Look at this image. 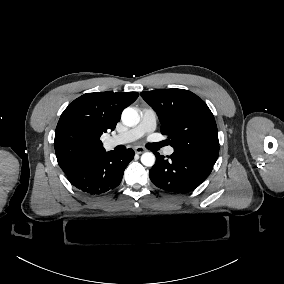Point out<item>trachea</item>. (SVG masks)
Wrapping results in <instances>:
<instances>
[{
  "mask_svg": "<svg viewBox=\"0 0 284 284\" xmlns=\"http://www.w3.org/2000/svg\"><path fill=\"white\" fill-rule=\"evenodd\" d=\"M169 143H170L169 140L161 141V142H158V143H152V144H149L148 148L150 150H159L161 147L166 146Z\"/></svg>",
  "mask_w": 284,
  "mask_h": 284,
  "instance_id": "1",
  "label": "trachea"
}]
</instances>
